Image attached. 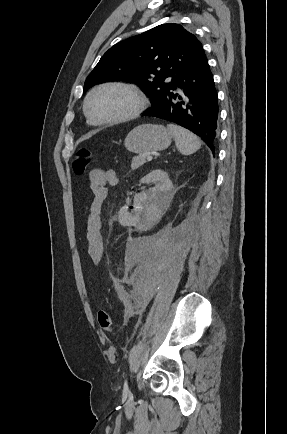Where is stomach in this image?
I'll use <instances>...</instances> for the list:
<instances>
[{
  "mask_svg": "<svg viewBox=\"0 0 287 434\" xmlns=\"http://www.w3.org/2000/svg\"><path fill=\"white\" fill-rule=\"evenodd\" d=\"M171 139V133L164 126L143 124L128 133L124 145L130 152L143 154L168 148Z\"/></svg>",
  "mask_w": 287,
  "mask_h": 434,
  "instance_id": "1",
  "label": "stomach"
}]
</instances>
